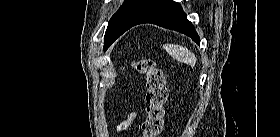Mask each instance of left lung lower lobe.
<instances>
[{"label":"left lung lower lobe","mask_w":280,"mask_h":137,"mask_svg":"<svg viewBox=\"0 0 280 137\" xmlns=\"http://www.w3.org/2000/svg\"><path fill=\"white\" fill-rule=\"evenodd\" d=\"M142 23H151L178 31L189 36L197 44H200V37L195 31L194 26L187 19L181 5L173 0H162L133 26Z\"/></svg>","instance_id":"left-lung-lower-lobe-1"}]
</instances>
